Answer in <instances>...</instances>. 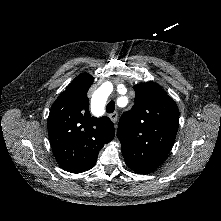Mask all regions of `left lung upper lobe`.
Wrapping results in <instances>:
<instances>
[{"mask_svg": "<svg viewBox=\"0 0 221 221\" xmlns=\"http://www.w3.org/2000/svg\"><path fill=\"white\" fill-rule=\"evenodd\" d=\"M133 88L135 103L121 116L118 136L129 168L149 174L163 163L174 144L179 110L174 100L154 82Z\"/></svg>", "mask_w": 221, "mask_h": 221, "instance_id": "5c2ea615", "label": "left lung upper lobe"}]
</instances>
